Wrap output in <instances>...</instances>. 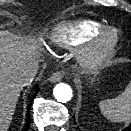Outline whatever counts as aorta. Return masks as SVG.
<instances>
[{
	"label": "aorta",
	"mask_w": 131,
	"mask_h": 131,
	"mask_svg": "<svg viewBox=\"0 0 131 131\" xmlns=\"http://www.w3.org/2000/svg\"><path fill=\"white\" fill-rule=\"evenodd\" d=\"M53 95L57 101L66 103L71 100L73 91L69 85L65 83H59L54 87Z\"/></svg>",
	"instance_id": "1"
}]
</instances>
